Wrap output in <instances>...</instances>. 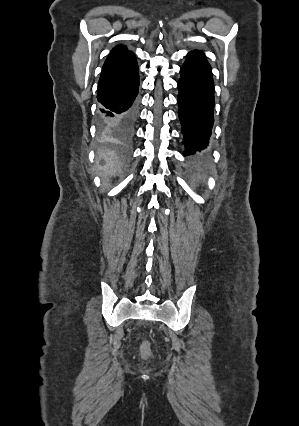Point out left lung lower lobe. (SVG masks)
I'll use <instances>...</instances> for the list:
<instances>
[{
	"label": "left lung lower lobe",
	"instance_id": "obj_1",
	"mask_svg": "<svg viewBox=\"0 0 299 426\" xmlns=\"http://www.w3.org/2000/svg\"><path fill=\"white\" fill-rule=\"evenodd\" d=\"M178 82L179 118L185 155L206 150L214 123V85L211 66L202 51L194 50L180 70Z\"/></svg>",
	"mask_w": 299,
	"mask_h": 426
}]
</instances>
